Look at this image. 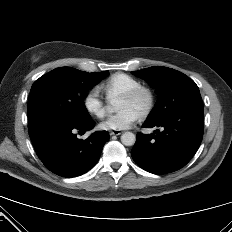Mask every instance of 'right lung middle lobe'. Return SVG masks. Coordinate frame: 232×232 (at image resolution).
Instances as JSON below:
<instances>
[{"mask_svg":"<svg viewBox=\"0 0 232 232\" xmlns=\"http://www.w3.org/2000/svg\"><path fill=\"white\" fill-rule=\"evenodd\" d=\"M108 72L88 73L71 67L56 68L32 85L28 118L52 116L71 121L91 119L84 106L86 91Z\"/></svg>","mask_w":232,"mask_h":232,"instance_id":"obj_1","label":"right lung middle lobe"}]
</instances>
